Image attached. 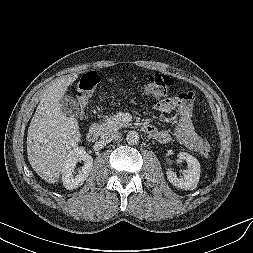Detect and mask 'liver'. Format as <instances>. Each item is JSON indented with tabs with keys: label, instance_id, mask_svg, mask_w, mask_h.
Here are the masks:
<instances>
[{
	"label": "liver",
	"instance_id": "1",
	"mask_svg": "<svg viewBox=\"0 0 253 253\" xmlns=\"http://www.w3.org/2000/svg\"><path fill=\"white\" fill-rule=\"evenodd\" d=\"M77 78L76 73L68 75L46 89L28 128L29 163L44 181L51 184L58 182L64 161L81 139L78 121L67 117L60 103Z\"/></svg>",
	"mask_w": 253,
	"mask_h": 253
}]
</instances>
